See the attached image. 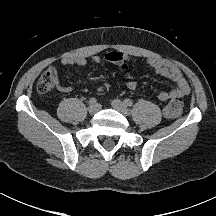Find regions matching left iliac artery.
<instances>
[{
  "label": "left iliac artery",
  "instance_id": "1",
  "mask_svg": "<svg viewBox=\"0 0 216 216\" xmlns=\"http://www.w3.org/2000/svg\"><path fill=\"white\" fill-rule=\"evenodd\" d=\"M124 103H125L127 106H132V105H133V101H132L131 99H129V98H126V99L124 100Z\"/></svg>",
  "mask_w": 216,
  "mask_h": 216
}]
</instances>
